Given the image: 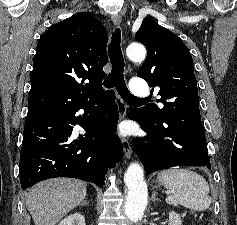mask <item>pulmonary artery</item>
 <instances>
[{
	"label": "pulmonary artery",
	"instance_id": "pulmonary-artery-1",
	"mask_svg": "<svg viewBox=\"0 0 237 225\" xmlns=\"http://www.w3.org/2000/svg\"><path fill=\"white\" fill-rule=\"evenodd\" d=\"M130 90L133 94L137 96H146L148 95V87L140 78H133L130 83Z\"/></svg>",
	"mask_w": 237,
	"mask_h": 225
}]
</instances>
